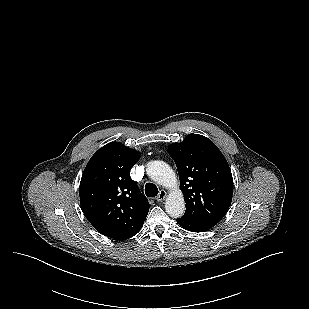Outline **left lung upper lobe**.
<instances>
[{
    "label": "left lung upper lobe",
    "instance_id": "left-lung-upper-lobe-1",
    "mask_svg": "<svg viewBox=\"0 0 309 309\" xmlns=\"http://www.w3.org/2000/svg\"><path fill=\"white\" fill-rule=\"evenodd\" d=\"M174 159L184 194V216L211 226L227 213L233 194L229 165L214 143L198 134H189L181 143L168 147Z\"/></svg>",
    "mask_w": 309,
    "mask_h": 309
}]
</instances>
